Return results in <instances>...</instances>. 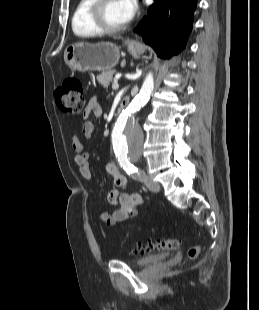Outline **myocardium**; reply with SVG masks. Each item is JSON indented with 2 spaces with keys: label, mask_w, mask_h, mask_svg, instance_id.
<instances>
[{
  "label": "myocardium",
  "mask_w": 259,
  "mask_h": 310,
  "mask_svg": "<svg viewBox=\"0 0 259 310\" xmlns=\"http://www.w3.org/2000/svg\"><path fill=\"white\" fill-rule=\"evenodd\" d=\"M109 0H94L89 10V19L91 24L99 33L115 34L125 30L128 26L127 23L118 26H108L103 19V10Z\"/></svg>",
  "instance_id": "myocardium-1"
}]
</instances>
